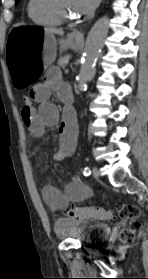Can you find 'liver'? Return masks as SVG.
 Listing matches in <instances>:
<instances>
[{
    "label": "liver",
    "mask_w": 148,
    "mask_h": 279,
    "mask_svg": "<svg viewBox=\"0 0 148 279\" xmlns=\"http://www.w3.org/2000/svg\"><path fill=\"white\" fill-rule=\"evenodd\" d=\"M45 31L47 33H50V34H57V35H63L64 32L62 29H56V28H45Z\"/></svg>",
    "instance_id": "obj_1"
}]
</instances>
